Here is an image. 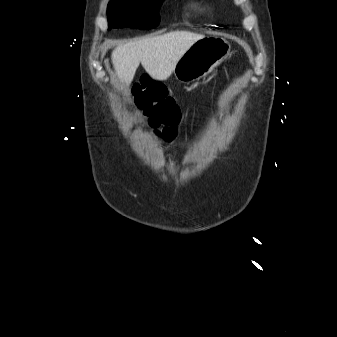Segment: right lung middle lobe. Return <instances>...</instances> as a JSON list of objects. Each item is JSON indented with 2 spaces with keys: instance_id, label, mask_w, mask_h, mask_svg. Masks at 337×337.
I'll list each match as a JSON object with an SVG mask.
<instances>
[{
  "instance_id": "obj_1",
  "label": "right lung middle lobe",
  "mask_w": 337,
  "mask_h": 337,
  "mask_svg": "<svg viewBox=\"0 0 337 337\" xmlns=\"http://www.w3.org/2000/svg\"><path fill=\"white\" fill-rule=\"evenodd\" d=\"M163 0H111L107 8L110 28L151 29L159 24Z\"/></svg>"
}]
</instances>
